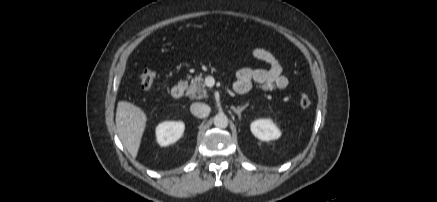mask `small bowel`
I'll list each match as a JSON object with an SVG mask.
<instances>
[{
    "instance_id": "obj_1",
    "label": "small bowel",
    "mask_w": 437,
    "mask_h": 202,
    "mask_svg": "<svg viewBox=\"0 0 437 202\" xmlns=\"http://www.w3.org/2000/svg\"><path fill=\"white\" fill-rule=\"evenodd\" d=\"M252 56L268 65V68L251 69L241 68L236 73L234 91L237 94H246L254 85L264 91H283L288 86V78L283 73V68L278 58L269 50L254 48Z\"/></svg>"
}]
</instances>
